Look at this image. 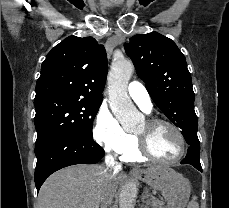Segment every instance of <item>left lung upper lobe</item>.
<instances>
[{
	"instance_id": "obj_1",
	"label": "left lung upper lobe",
	"mask_w": 229,
	"mask_h": 208,
	"mask_svg": "<svg viewBox=\"0 0 229 208\" xmlns=\"http://www.w3.org/2000/svg\"><path fill=\"white\" fill-rule=\"evenodd\" d=\"M124 47L154 103L181 133L197 131L191 75L177 45L151 32L133 36Z\"/></svg>"
}]
</instances>
